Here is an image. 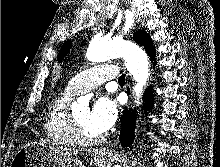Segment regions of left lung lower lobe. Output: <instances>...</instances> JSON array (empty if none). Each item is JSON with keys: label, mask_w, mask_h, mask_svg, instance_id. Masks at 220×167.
Listing matches in <instances>:
<instances>
[{"label": "left lung lower lobe", "mask_w": 220, "mask_h": 167, "mask_svg": "<svg viewBox=\"0 0 220 167\" xmlns=\"http://www.w3.org/2000/svg\"><path fill=\"white\" fill-rule=\"evenodd\" d=\"M150 56L152 57L153 54ZM128 91H129V89H128ZM148 92L149 91L147 90L144 95L146 108L152 107V105H150V103H152V101H150L151 96ZM135 115H136L135 111H133L132 113H130L128 110L123 112L122 129H121L119 139H120L122 146H124V147L130 146V144L133 141L134 127H135Z\"/></svg>", "instance_id": "1"}]
</instances>
